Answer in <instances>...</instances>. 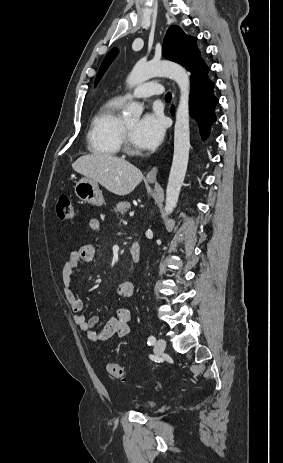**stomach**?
<instances>
[{
  "mask_svg": "<svg viewBox=\"0 0 283 463\" xmlns=\"http://www.w3.org/2000/svg\"><path fill=\"white\" fill-rule=\"evenodd\" d=\"M76 196L83 202L94 206H101L104 203V197L96 181L88 178L80 179L75 187Z\"/></svg>",
  "mask_w": 283,
  "mask_h": 463,
  "instance_id": "obj_1",
  "label": "stomach"
}]
</instances>
